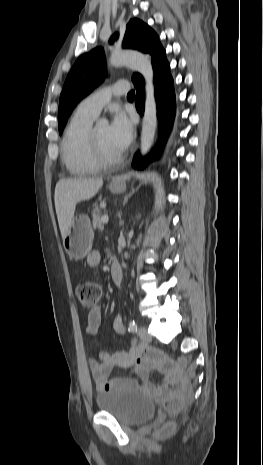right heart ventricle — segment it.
<instances>
[{
	"instance_id": "1",
	"label": "right heart ventricle",
	"mask_w": 263,
	"mask_h": 465,
	"mask_svg": "<svg viewBox=\"0 0 263 465\" xmlns=\"http://www.w3.org/2000/svg\"><path fill=\"white\" fill-rule=\"evenodd\" d=\"M94 119L77 110L65 128L61 142V157L65 167L73 175H89L101 168L93 160L87 141Z\"/></svg>"
}]
</instances>
